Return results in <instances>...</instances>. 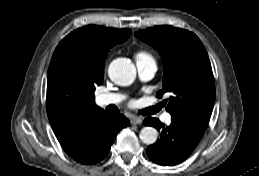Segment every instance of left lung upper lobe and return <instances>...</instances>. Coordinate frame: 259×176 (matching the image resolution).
I'll return each mask as SVG.
<instances>
[{"mask_svg": "<svg viewBox=\"0 0 259 176\" xmlns=\"http://www.w3.org/2000/svg\"><path fill=\"white\" fill-rule=\"evenodd\" d=\"M135 36L164 57L163 88L157 93L172 118L207 128L215 101L211 63L200 39L192 32L169 25L155 26Z\"/></svg>", "mask_w": 259, "mask_h": 176, "instance_id": "left-lung-upper-lobe-1", "label": "left lung upper lobe"}]
</instances>
